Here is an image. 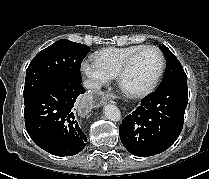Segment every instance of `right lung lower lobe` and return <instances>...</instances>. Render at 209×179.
I'll list each match as a JSON object with an SVG mask.
<instances>
[{
    "label": "right lung lower lobe",
    "mask_w": 209,
    "mask_h": 179,
    "mask_svg": "<svg viewBox=\"0 0 209 179\" xmlns=\"http://www.w3.org/2000/svg\"><path fill=\"white\" fill-rule=\"evenodd\" d=\"M85 93L81 81L51 83L25 103V126L31 139L56 156L79 153L87 138L74 114L77 97Z\"/></svg>",
    "instance_id": "98d812e1"
}]
</instances>
